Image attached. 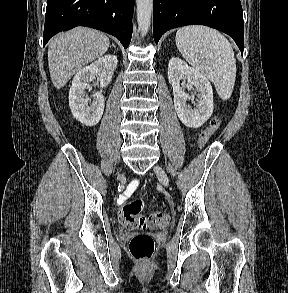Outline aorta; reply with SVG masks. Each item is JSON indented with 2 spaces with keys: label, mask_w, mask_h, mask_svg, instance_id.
Here are the masks:
<instances>
[{
  "label": "aorta",
  "mask_w": 288,
  "mask_h": 293,
  "mask_svg": "<svg viewBox=\"0 0 288 293\" xmlns=\"http://www.w3.org/2000/svg\"><path fill=\"white\" fill-rule=\"evenodd\" d=\"M137 22L142 36H145L150 28L152 15V0H136Z\"/></svg>",
  "instance_id": "762f6f07"
}]
</instances>
